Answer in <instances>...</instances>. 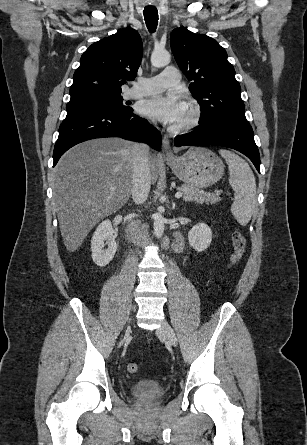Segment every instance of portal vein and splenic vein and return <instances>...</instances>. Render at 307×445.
<instances>
[{"mask_svg":"<svg viewBox=\"0 0 307 445\" xmlns=\"http://www.w3.org/2000/svg\"><path fill=\"white\" fill-rule=\"evenodd\" d=\"M110 190H114V188H110ZM175 196L176 198H180V196H182V192H176Z\"/></svg>","mask_w":307,"mask_h":445,"instance_id":"18ae733b","label":"portal vein and splenic vein"}]
</instances>
